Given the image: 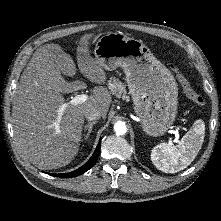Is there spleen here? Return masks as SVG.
Masks as SVG:
<instances>
[{
    "mask_svg": "<svg viewBox=\"0 0 221 221\" xmlns=\"http://www.w3.org/2000/svg\"><path fill=\"white\" fill-rule=\"evenodd\" d=\"M205 134V124L197 120L193 129L183 136L178 145L160 143L151 151V160L157 169L177 173L187 168L198 154Z\"/></svg>",
    "mask_w": 221,
    "mask_h": 221,
    "instance_id": "1",
    "label": "spleen"
}]
</instances>
